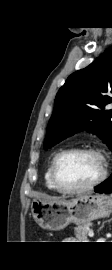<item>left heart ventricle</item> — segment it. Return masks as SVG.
I'll return each mask as SVG.
<instances>
[{
	"mask_svg": "<svg viewBox=\"0 0 112 270\" xmlns=\"http://www.w3.org/2000/svg\"><path fill=\"white\" fill-rule=\"evenodd\" d=\"M101 161L91 154H71L58 166L60 181L67 187H82L93 182L100 174Z\"/></svg>",
	"mask_w": 112,
	"mask_h": 270,
	"instance_id": "obj_1",
	"label": "left heart ventricle"
}]
</instances>
